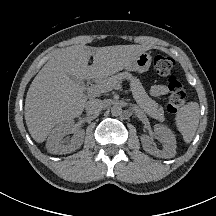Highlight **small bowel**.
Masks as SVG:
<instances>
[{
  "label": "small bowel",
  "mask_w": 216,
  "mask_h": 216,
  "mask_svg": "<svg viewBox=\"0 0 216 216\" xmlns=\"http://www.w3.org/2000/svg\"><path fill=\"white\" fill-rule=\"evenodd\" d=\"M167 92L168 88L164 84H156L151 87V94L156 97L163 96L167 94Z\"/></svg>",
  "instance_id": "obj_1"
}]
</instances>
